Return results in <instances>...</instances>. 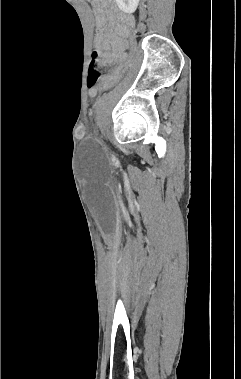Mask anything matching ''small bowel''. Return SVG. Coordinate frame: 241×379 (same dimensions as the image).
<instances>
[{
	"label": "small bowel",
	"mask_w": 241,
	"mask_h": 379,
	"mask_svg": "<svg viewBox=\"0 0 241 379\" xmlns=\"http://www.w3.org/2000/svg\"><path fill=\"white\" fill-rule=\"evenodd\" d=\"M98 30L95 36V47L101 53L105 64L114 61L119 51V36L126 32L133 20L128 15L119 12L113 5V0H94ZM96 88L89 89V95L94 97Z\"/></svg>",
	"instance_id": "c3829d8e"
}]
</instances>
